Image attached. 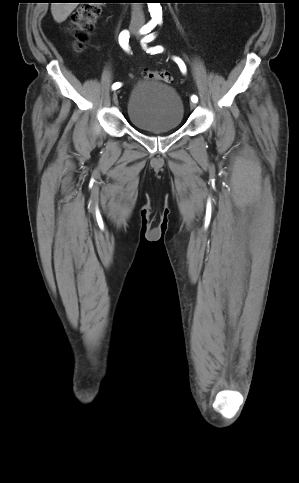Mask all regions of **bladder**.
I'll return each instance as SVG.
<instances>
[{
    "mask_svg": "<svg viewBox=\"0 0 299 483\" xmlns=\"http://www.w3.org/2000/svg\"><path fill=\"white\" fill-rule=\"evenodd\" d=\"M183 102L175 89L160 81H148L132 88L127 105L131 124L142 131L167 132L180 127Z\"/></svg>",
    "mask_w": 299,
    "mask_h": 483,
    "instance_id": "obj_1",
    "label": "bladder"
}]
</instances>
